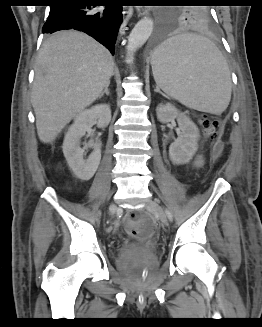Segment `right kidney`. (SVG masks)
Instances as JSON below:
<instances>
[{
    "instance_id": "obj_1",
    "label": "right kidney",
    "mask_w": 262,
    "mask_h": 327,
    "mask_svg": "<svg viewBox=\"0 0 262 327\" xmlns=\"http://www.w3.org/2000/svg\"><path fill=\"white\" fill-rule=\"evenodd\" d=\"M111 121V110L107 104H99L81 111L74 119L63 142V153L68 165L75 175L82 180H89L95 174L101 160V146L99 143L89 142L86 147H93L94 151L88 159H84V149L80 147L81 138L91 130L93 124L105 128Z\"/></svg>"
}]
</instances>
